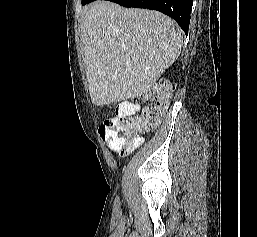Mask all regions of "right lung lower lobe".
<instances>
[{
	"instance_id": "1",
	"label": "right lung lower lobe",
	"mask_w": 257,
	"mask_h": 237,
	"mask_svg": "<svg viewBox=\"0 0 257 237\" xmlns=\"http://www.w3.org/2000/svg\"><path fill=\"white\" fill-rule=\"evenodd\" d=\"M124 7L145 8L160 11L175 19L188 33L193 0H108Z\"/></svg>"
}]
</instances>
